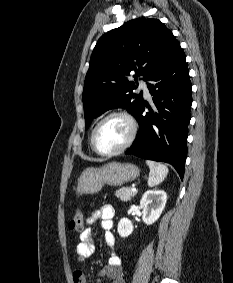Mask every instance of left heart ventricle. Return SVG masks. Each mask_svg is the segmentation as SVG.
<instances>
[{"label": "left heart ventricle", "mask_w": 233, "mask_h": 283, "mask_svg": "<svg viewBox=\"0 0 233 283\" xmlns=\"http://www.w3.org/2000/svg\"><path fill=\"white\" fill-rule=\"evenodd\" d=\"M130 126L122 117H112L105 121L96 136V145L103 152L118 149L128 139Z\"/></svg>", "instance_id": "left-heart-ventricle-1"}]
</instances>
